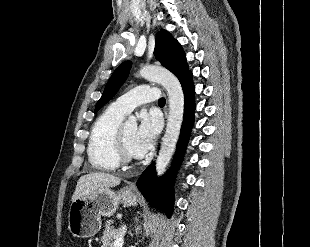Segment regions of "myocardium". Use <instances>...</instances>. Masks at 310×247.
<instances>
[{
    "instance_id": "1",
    "label": "myocardium",
    "mask_w": 310,
    "mask_h": 247,
    "mask_svg": "<svg viewBox=\"0 0 310 247\" xmlns=\"http://www.w3.org/2000/svg\"><path fill=\"white\" fill-rule=\"evenodd\" d=\"M117 152L119 156L120 162L124 164H130L135 161L134 155H132L126 145L125 139H124V132L123 127L120 126L118 135H117Z\"/></svg>"
}]
</instances>
